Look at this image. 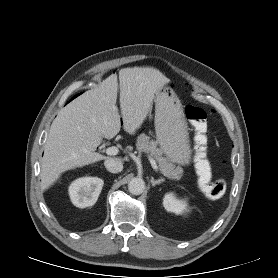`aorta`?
<instances>
[{
  "label": "aorta",
  "mask_w": 278,
  "mask_h": 278,
  "mask_svg": "<svg viewBox=\"0 0 278 278\" xmlns=\"http://www.w3.org/2000/svg\"><path fill=\"white\" fill-rule=\"evenodd\" d=\"M145 189V182L141 178H133L128 184V190L133 195H140Z\"/></svg>",
  "instance_id": "762f6f07"
}]
</instances>
